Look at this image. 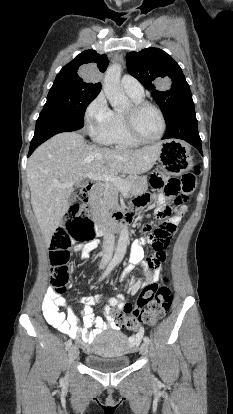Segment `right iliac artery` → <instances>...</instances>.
Here are the masks:
<instances>
[{
  "mask_svg": "<svg viewBox=\"0 0 233 414\" xmlns=\"http://www.w3.org/2000/svg\"><path fill=\"white\" fill-rule=\"evenodd\" d=\"M115 265H116V262L115 261L110 262V264L107 266V268L104 271V273L102 274V276L99 278V281L103 280L113 270V268L115 267ZM71 344H72V340L69 339L66 342V350H68L70 348Z\"/></svg>",
  "mask_w": 233,
  "mask_h": 414,
  "instance_id": "obj_1",
  "label": "right iliac artery"
}]
</instances>
